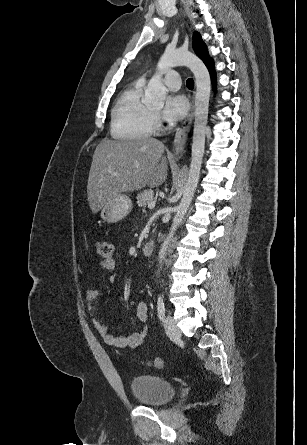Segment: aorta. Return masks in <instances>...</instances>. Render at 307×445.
Returning a JSON list of instances; mask_svg holds the SVG:
<instances>
[{"label":"aorta","mask_w":307,"mask_h":445,"mask_svg":"<svg viewBox=\"0 0 307 445\" xmlns=\"http://www.w3.org/2000/svg\"><path fill=\"white\" fill-rule=\"evenodd\" d=\"M171 66H188L192 70L196 80V94H195V122L192 142V156L190 162V170L188 172L187 182L183 188L182 198L176 206L175 216L172 220L171 229L162 243L159 253L158 261L161 265L166 259V253L172 241L182 218H184L192 196L196 190L199 180L200 168L205 148V134L206 124L208 118L209 98H210V76L209 72L202 60L195 56L190 50H183V48H172L166 46L162 56L159 58L157 70L152 78H150L142 102L146 106H164L167 90L162 82V72L171 68Z\"/></svg>","instance_id":"762f6f07"}]
</instances>
